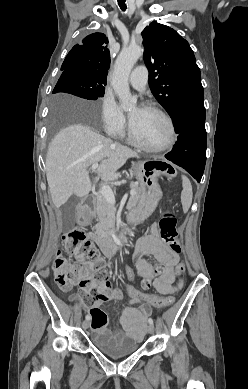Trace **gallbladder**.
<instances>
[{"label": "gallbladder", "mask_w": 248, "mask_h": 389, "mask_svg": "<svg viewBox=\"0 0 248 389\" xmlns=\"http://www.w3.org/2000/svg\"><path fill=\"white\" fill-rule=\"evenodd\" d=\"M80 202V198L78 197H72L65 205V209L67 212L71 215L73 222L75 219L74 209L75 206Z\"/></svg>", "instance_id": "gallbladder-1"}]
</instances>
